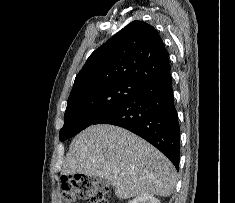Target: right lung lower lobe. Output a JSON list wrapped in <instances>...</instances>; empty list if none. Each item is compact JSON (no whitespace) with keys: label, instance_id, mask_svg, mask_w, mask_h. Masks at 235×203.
I'll return each mask as SVG.
<instances>
[{"label":"right lung lower lobe","instance_id":"obj_1","mask_svg":"<svg viewBox=\"0 0 235 203\" xmlns=\"http://www.w3.org/2000/svg\"><path fill=\"white\" fill-rule=\"evenodd\" d=\"M94 124L117 125L139 135L159 149L178 171L180 127L170 71L144 83Z\"/></svg>","mask_w":235,"mask_h":203}]
</instances>
